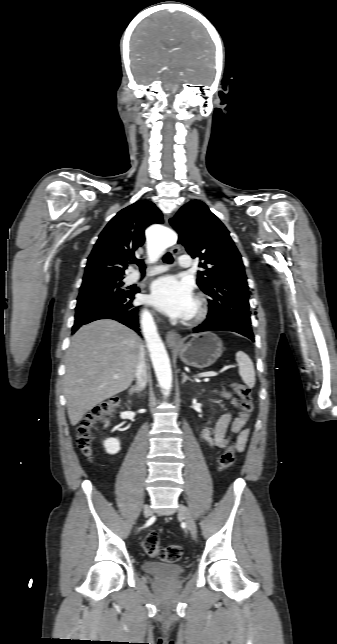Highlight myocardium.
Here are the masks:
<instances>
[{
	"label": "myocardium",
	"instance_id": "myocardium-1",
	"mask_svg": "<svg viewBox=\"0 0 337 644\" xmlns=\"http://www.w3.org/2000/svg\"><path fill=\"white\" fill-rule=\"evenodd\" d=\"M209 307L207 299L204 295L198 294L194 298V309L191 314L185 319L188 324H198L202 322L208 315Z\"/></svg>",
	"mask_w": 337,
	"mask_h": 644
}]
</instances>
